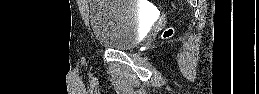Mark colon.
<instances>
[{
    "mask_svg": "<svg viewBox=\"0 0 259 94\" xmlns=\"http://www.w3.org/2000/svg\"><path fill=\"white\" fill-rule=\"evenodd\" d=\"M166 34L169 35V34H170V31H168Z\"/></svg>",
    "mask_w": 259,
    "mask_h": 94,
    "instance_id": "colon-1",
    "label": "colon"
}]
</instances>
